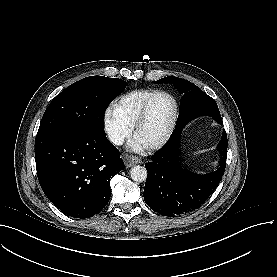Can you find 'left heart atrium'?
I'll use <instances>...</instances> for the list:
<instances>
[{
    "label": "left heart atrium",
    "instance_id": "39dd6f15",
    "mask_svg": "<svg viewBox=\"0 0 277 277\" xmlns=\"http://www.w3.org/2000/svg\"><path fill=\"white\" fill-rule=\"evenodd\" d=\"M141 147H142L141 144L138 142H134V144L132 145V149L136 151H139Z\"/></svg>",
    "mask_w": 277,
    "mask_h": 277
}]
</instances>
